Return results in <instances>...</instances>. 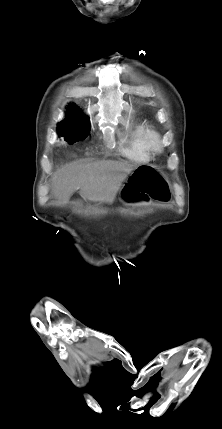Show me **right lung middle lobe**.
<instances>
[{
	"label": "right lung middle lobe",
	"mask_w": 222,
	"mask_h": 429,
	"mask_svg": "<svg viewBox=\"0 0 222 429\" xmlns=\"http://www.w3.org/2000/svg\"><path fill=\"white\" fill-rule=\"evenodd\" d=\"M58 134L69 144L84 140L89 134V120L79 108L70 104L66 119L58 124Z\"/></svg>",
	"instance_id": "right-lung-middle-lobe-1"
}]
</instances>
